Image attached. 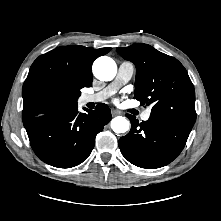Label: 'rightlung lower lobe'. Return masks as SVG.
I'll return each mask as SVG.
<instances>
[{
    "instance_id": "1",
    "label": "right lung lower lobe",
    "mask_w": 221,
    "mask_h": 221,
    "mask_svg": "<svg viewBox=\"0 0 221 221\" xmlns=\"http://www.w3.org/2000/svg\"><path fill=\"white\" fill-rule=\"evenodd\" d=\"M86 111L79 112L76 102L24 122L35 154L58 168H71L87 159L111 112L106 104Z\"/></svg>"
}]
</instances>
